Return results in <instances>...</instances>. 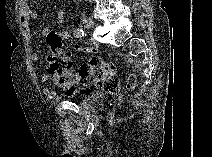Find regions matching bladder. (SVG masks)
Wrapping results in <instances>:
<instances>
[{
	"mask_svg": "<svg viewBox=\"0 0 212 157\" xmlns=\"http://www.w3.org/2000/svg\"><path fill=\"white\" fill-rule=\"evenodd\" d=\"M107 94L98 91H91L87 93H83L78 101L77 104L89 111H98L105 107L107 104Z\"/></svg>",
	"mask_w": 212,
	"mask_h": 157,
	"instance_id": "obj_1",
	"label": "bladder"
}]
</instances>
